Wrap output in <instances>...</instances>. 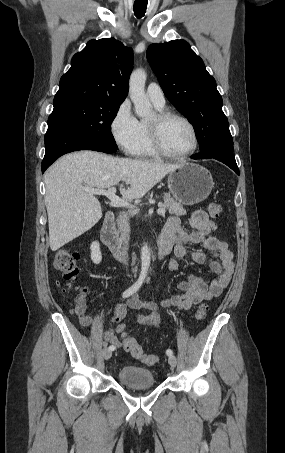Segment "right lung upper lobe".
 Wrapping results in <instances>:
<instances>
[{
	"mask_svg": "<svg viewBox=\"0 0 285 453\" xmlns=\"http://www.w3.org/2000/svg\"><path fill=\"white\" fill-rule=\"evenodd\" d=\"M133 51L114 38L90 40L71 60L54 100L100 97L123 102L128 93Z\"/></svg>",
	"mask_w": 285,
	"mask_h": 453,
	"instance_id": "right-lung-upper-lobe-1",
	"label": "right lung upper lobe"
}]
</instances>
